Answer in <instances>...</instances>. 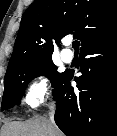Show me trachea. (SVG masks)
I'll return each instance as SVG.
<instances>
[{
  "label": "trachea",
  "mask_w": 117,
  "mask_h": 136,
  "mask_svg": "<svg viewBox=\"0 0 117 136\" xmlns=\"http://www.w3.org/2000/svg\"><path fill=\"white\" fill-rule=\"evenodd\" d=\"M79 45H80V42L77 40L73 41L72 43V47L74 48L75 51H79Z\"/></svg>",
  "instance_id": "1"
}]
</instances>
